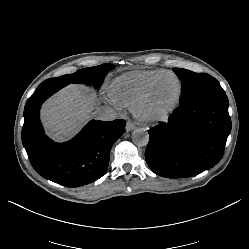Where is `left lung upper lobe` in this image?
Instances as JSON below:
<instances>
[{
	"label": "left lung upper lobe",
	"instance_id": "obj_1",
	"mask_svg": "<svg viewBox=\"0 0 249 249\" xmlns=\"http://www.w3.org/2000/svg\"><path fill=\"white\" fill-rule=\"evenodd\" d=\"M173 70L182 81L180 103L205 92L223 90L219 82L209 74L195 73L181 68H174Z\"/></svg>",
	"mask_w": 249,
	"mask_h": 249
}]
</instances>
